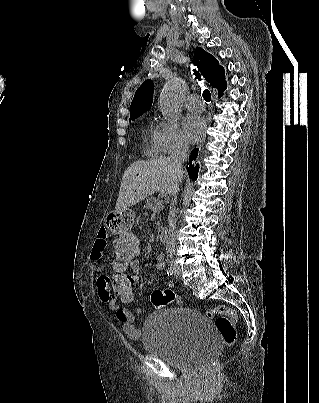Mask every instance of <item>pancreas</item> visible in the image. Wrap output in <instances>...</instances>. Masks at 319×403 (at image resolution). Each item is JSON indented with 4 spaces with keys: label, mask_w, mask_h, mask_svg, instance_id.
Masks as SVG:
<instances>
[{
    "label": "pancreas",
    "mask_w": 319,
    "mask_h": 403,
    "mask_svg": "<svg viewBox=\"0 0 319 403\" xmlns=\"http://www.w3.org/2000/svg\"><path fill=\"white\" fill-rule=\"evenodd\" d=\"M159 201L160 200L158 198H153V197L148 198L147 202H146V207L153 210L154 212H159L163 209V203L161 206L156 207V205Z\"/></svg>",
    "instance_id": "pancreas-1"
}]
</instances>
